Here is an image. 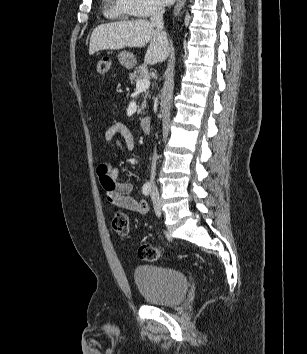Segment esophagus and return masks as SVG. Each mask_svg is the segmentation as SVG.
Segmentation results:
<instances>
[{
    "label": "esophagus",
    "mask_w": 307,
    "mask_h": 354,
    "mask_svg": "<svg viewBox=\"0 0 307 354\" xmlns=\"http://www.w3.org/2000/svg\"><path fill=\"white\" fill-rule=\"evenodd\" d=\"M185 1H186V0H178L177 4H176L175 7H174V11H173V15H174V16H177V15L180 13L182 7H183L184 4H185Z\"/></svg>",
    "instance_id": "34e87169"
}]
</instances>
